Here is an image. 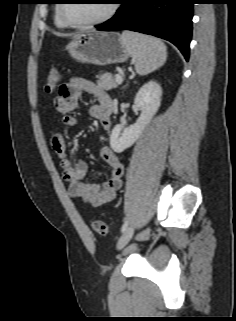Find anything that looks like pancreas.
<instances>
[{"instance_id": "obj_1", "label": "pancreas", "mask_w": 236, "mask_h": 321, "mask_svg": "<svg viewBox=\"0 0 236 321\" xmlns=\"http://www.w3.org/2000/svg\"><path fill=\"white\" fill-rule=\"evenodd\" d=\"M97 78V84L102 89L111 90L117 87L116 79L111 73H102L101 75H98Z\"/></svg>"}]
</instances>
